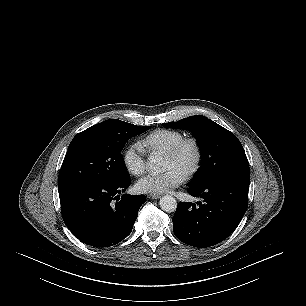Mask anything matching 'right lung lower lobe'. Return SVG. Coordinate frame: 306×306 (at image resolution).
I'll return each mask as SVG.
<instances>
[{
  "instance_id": "1",
  "label": "right lung lower lobe",
  "mask_w": 306,
  "mask_h": 306,
  "mask_svg": "<svg viewBox=\"0 0 306 306\" xmlns=\"http://www.w3.org/2000/svg\"><path fill=\"white\" fill-rule=\"evenodd\" d=\"M130 178L122 182L92 180L59 191L61 212L68 229L94 247L119 243L132 231L144 195H128Z\"/></svg>"
}]
</instances>
